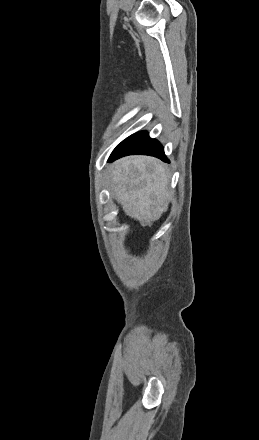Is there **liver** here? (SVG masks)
<instances>
[{
    "label": "liver",
    "instance_id": "1",
    "mask_svg": "<svg viewBox=\"0 0 259 440\" xmlns=\"http://www.w3.org/2000/svg\"><path fill=\"white\" fill-rule=\"evenodd\" d=\"M111 189L126 215L143 225L168 209L169 180L163 163L149 156L125 157L113 164Z\"/></svg>",
    "mask_w": 259,
    "mask_h": 440
}]
</instances>
